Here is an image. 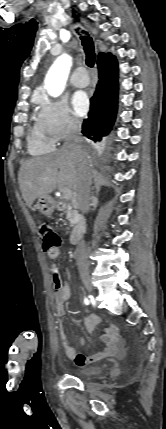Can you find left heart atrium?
<instances>
[{
    "instance_id": "1",
    "label": "left heart atrium",
    "mask_w": 166,
    "mask_h": 429,
    "mask_svg": "<svg viewBox=\"0 0 166 429\" xmlns=\"http://www.w3.org/2000/svg\"><path fill=\"white\" fill-rule=\"evenodd\" d=\"M74 113L78 116H84L89 109V99L84 92H77L72 98Z\"/></svg>"
}]
</instances>
